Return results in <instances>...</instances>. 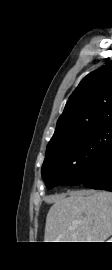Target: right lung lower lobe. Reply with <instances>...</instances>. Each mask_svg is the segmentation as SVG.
Here are the masks:
<instances>
[{"mask_svg":"<svg viewBox=\"0 0 112 270\" xmlns=\"http://www.w3.org/2000/svg\"><path fill=\"white\" fill-rule=\"evenodd\" d=\"M81 183L89 188L112 192V145L96 158Z\"/></svg>","mask_w":112,"mask_h":270,"instance_id":"98d812e1","label":"right lung lower lobe"}]
</instances>
